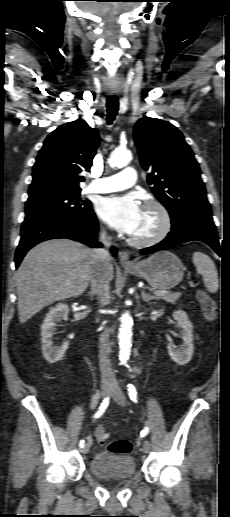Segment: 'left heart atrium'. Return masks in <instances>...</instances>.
Segmentation results:
<instances>
[{
  "label": "left heart atrium",
  "instance_id": "obj_1",
  "mask_svg": "<svg viewBox=\"0 0 230 517\" xmlns=\"http://www.w3.org/2000/svg\"><path fill=\"white\" fill-rule=\"evenodd\" d=\"M97 213L113 228L132 234L139 226L142 208L132 195L111 196L99 201Z\"/></svg>",
  "mask_w": 230,
  "mask_h": 517
}]
</instances>
